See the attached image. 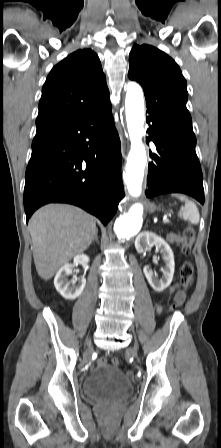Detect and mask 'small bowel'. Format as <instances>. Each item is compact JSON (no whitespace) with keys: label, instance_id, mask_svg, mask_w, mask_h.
I'll return each instance as SVG.
<instances>
[{"label":"small bowel","instance_id":"obj_1","mask_svg":"<svg viewBox=\"0 0 221 448\" xmlns=\"http://www.w3.org/2000/svg\"><path fill=\"white\" fill-rule=\"evenodd\" d=\"M168 240H169L171 243H178V242H182V237H180V236H179L178 234H176V233H170V234L168 235ZM177 288H178L177 285L171 287V288H170V292H171V293H176V296H178V297L180 298L181 302H182V301L184 300V295H183L182 293H180V292H177ZM160 310H161V307L158 305V306H157V311L159 312Z\"/></svg>","mask_w":221,"mask_h":448}]
</instances>
